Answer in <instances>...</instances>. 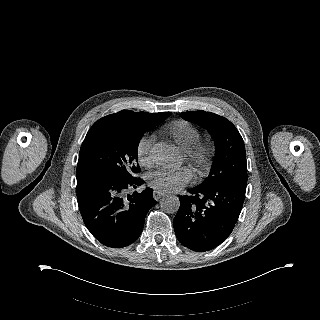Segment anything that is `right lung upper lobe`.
<instances>
[{
	"mask_svg": "<svg viewBox=\"0 0 320 320\" xmlns=\"http://www.w3.org/2000/svg\"><path fill=\"white\" fill-rule=\"evenodd\" d=\"M169 112L145 113L123 110L96 121L88 131L84 142L101 134H139L164 120ZM170 114V113H169Z\"/></svg>",
	"mask_w": 320,
	"mask_h": 320,
	"instance_id": "cb5924a9",
	"label": "right lung upper lobe"
}]
</instances>
